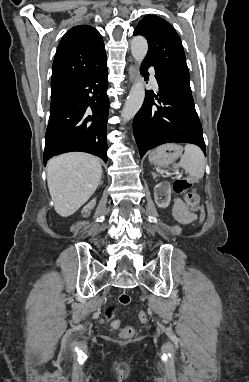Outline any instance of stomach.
I'll use <instances>...</instances> for the list:
<instances>
[{
	"mask_svg": "<svg viewBox=\"0 0 249 382\" xmlns=\"http://www.w3.org/2000/svg\"><path fill=\"white\" fill-rule=\"evenodd\" d=\"M182 155L180 145L171 143L160 146L156 151L152 152L149 160L158 167H167Z\"/></svg>",
	"mask_w": 249,
	"mask_h": 382,
	"instance_id": "0dacf381",
	"label": "stomach"
}]
</instances>
